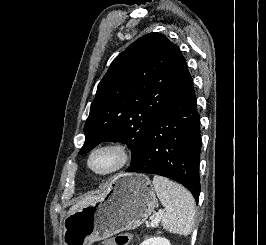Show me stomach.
<instances>
[{
	"label": "stomach",
	"mask_w": 266,
	"mask_h": 245,
	"mask_svg": "<svg viewBox=\"0 0 266 245\" xmlns=\"http://www.w3.org/2000/svg\"><path fill=\"white\" fill-rule=\"evenodd\" d=\"M157 203L154 187L146 175L118 173L109 181L101 201L66 217L64 245H91L121 231L140 227Z\"/></svg>",
	"instance_id": "stomach-1"
}]
</instances>
